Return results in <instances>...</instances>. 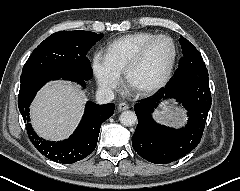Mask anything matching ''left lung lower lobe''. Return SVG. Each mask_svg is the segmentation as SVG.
<instances>
[{
  "label": "left lung lower lobe",
  "mask_w": 240,
  "mask_h": 191,
  "mask_svg": "<svg viewBox=\"0 0 240 191\" xmlns=\"http://www.w3.org/2000/svg\"><path fill=\"white\" fill-rule=\"evenodd\" d=\"M175 98L188 111V123L179 130L157 124L151 113L162 99ZM211 107L208 71L192 72L179 66L166 89L135 105L138 125L132 136L134 150L156 164L178 160L200 142Z\"/></svg>",
  "instance_id": "0a47b994"
}]
</instances>
